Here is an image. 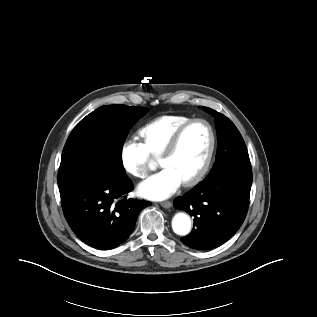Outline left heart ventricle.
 Returning a JSON list of instances; mask_svg holds the SVG:
<instances>
[{
  "instance_id": "obj_1",
  "label": "left heart ventricle",
  "mask_w": 317,
  "mask_h": 317,
  "mask_svg": "<svg viewBox=\"0 0 317 317\" xmlns=\"http://www.w3.org/2000/svg\"><path fill=\"white\" fill-rule=\"evenodd\" d=\"M210 144V135L204 124L191 126L182 137L176 152L160 161L162 167L171 168L182 181L193 176L201 167Z\"/></svg>"
}]
</instances>
